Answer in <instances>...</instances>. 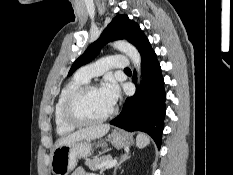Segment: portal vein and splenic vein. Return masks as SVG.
I'll return each instance as SVG.
<instances>
[{"label":"portal vein and splenic vein","instance_id":"1","mask_svg":"<svg viewBox=\"0 0 233 175\" xmlns=\"http://www.w3.org/2000/svg\"><path fill=\"white\" fill-rule=\"evenodd\" d=\"M117 164V160L114 159V160H110L108 161L106 164H105V168H111L113 166H115Z\"/></svg>","mask_w":233,"mask_h":175}]
</instances>
